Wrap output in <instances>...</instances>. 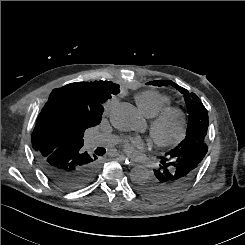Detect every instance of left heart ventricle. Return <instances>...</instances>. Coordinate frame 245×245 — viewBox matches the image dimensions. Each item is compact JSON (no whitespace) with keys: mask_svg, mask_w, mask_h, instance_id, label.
Listing matches in <instances>:
<instances>
[{"mask_svg":"<svg viewBox=\"0 0 245 245\" xmlns=\"http://www.w3.org/2000/svg\"><path fill=\"white\" fill-rule=\"evenodd\" d=\"M178 131V123L175 119L167 121L161 129L162 136L166 138L173 137Z\"/></svg>","mask_w":245,"mask_h":245,"instance_id":"1","label":"left heart ventricle"}]
</instances>
